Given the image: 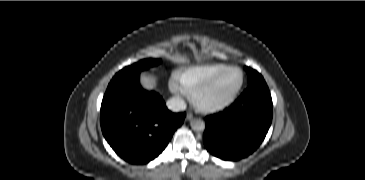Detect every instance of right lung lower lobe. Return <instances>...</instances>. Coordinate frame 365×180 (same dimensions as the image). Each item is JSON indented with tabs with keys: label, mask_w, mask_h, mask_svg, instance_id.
I'll use <instances>...</instances> for the list:
<instances>
[{
	"label": "right lung lower lobe",
	"mask_w": 365,
	"mask_h": 180,
	"mask_svg": "<svg viewBox=\"0 0 365 180\" xmlns=\"http://www.w3.org/2000/svg\"><path fill=\"white\" fill-rule=\"evenodd\" d=\"M185 113L170 112L162 97L139 84V75L110 82L101 104V129L125 161L145 164L167 146Z\"/></svg>",
	"instance_id": "98d812e1"
}]
</instances>
